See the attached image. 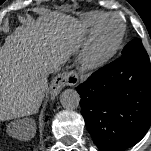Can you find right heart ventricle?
<instances>
[{"mask_svg": "<svg viewBox=\"0 0 151 151\" xmlns=\"http://www.w3.org/2000/svg\"><path fill=\"white\" fill-rule=\"evenodd\" d=\"M107 15L104 12H99V11H94V12H89L87 13L84 18H83V22L85 27L91 31L95 28V26L97 25V23L105 16Z\"/></svg>", "mask_w": 151, "mask_h": 151, "instance_id": "obj_1", "label": "right heart ventricle"}]
</instances>
